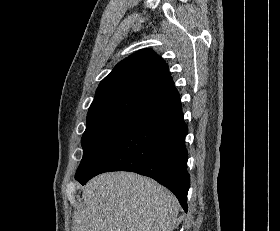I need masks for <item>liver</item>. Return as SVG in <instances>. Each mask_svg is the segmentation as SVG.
<instances>
[{
	"mask_svg": "<svg viewBox=\"0 0 280 231\" xmlns=\"http://www.w3.org/2000/svg\"><path fill=\"white\" fill-rule=\"evenodd\" d=\"M75 231H172L179 203L151 177L131 171L101 173L83 185Z\"/></svg>",
	"mask_w": 280,
	"mask_h": 231,
	"instance_id": "liver-1",
	"label": "liver"
}]
</instances>
